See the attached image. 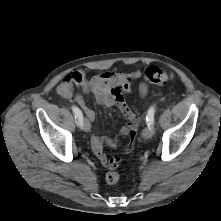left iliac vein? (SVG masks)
Returning a JSON list of instances; mask_svg holds the SVG:
<instances>
[{"instance_id": "obj_1", "label": "left iliac vein", "mask_w": 221, "mask_h": 221, "mask_svg": "<svg viewBox=\"0 0 221 221\" xmlns=\"http://www.w3.org/2000/svg\"><path fill=\"white\" fill-rule=\"evenodd\" d=\"M153 134H154V127L153 126L146 127L142 132V136L145 139L151 138L153 136Z\"/></svg>"}]
</instances>
